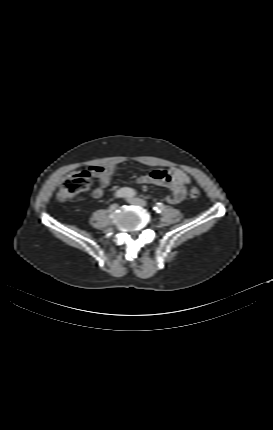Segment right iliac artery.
Listing matches in <instances>:
<instances>
[{"instance_id": "1", "label": "right iliac artery", "mask_w": 273, "mask_h": 430, "mask_svg": "<svg viewBox=\"0 0 273 430\" xmlns=\"http://www.w3.org/2000/svg\"><path fill=\"white\" fill-rule=\"evenodd\" d=\"M135 191L132 188L129 187H123L115 192L116 198H131L135 196Z\"/></svg>"}]
</instances>
